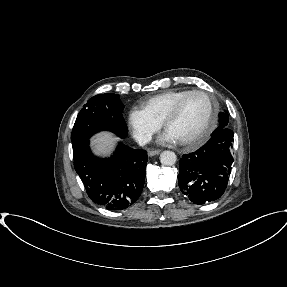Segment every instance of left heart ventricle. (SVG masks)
I'll use <instances>...</instances> for the list:
<instances>
[{
	"mask_svg": "<svg viewBox=\"0 0 287 287\" xmlns=\"http://www.w3.org/2000/svg\"><path fill=\"white\" fill-rule=\"evenodd\" d=\"M209 111L210 105L206 97L194 95L183 104L178 116L165 130L178 143L193 139L204 130Z\"/></svg>",
	"mask_w": 287,
	"mask_h": 287,
	"instance_id": "1",
	"label": "left heart ventricle"
}]
</instances>
